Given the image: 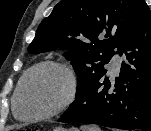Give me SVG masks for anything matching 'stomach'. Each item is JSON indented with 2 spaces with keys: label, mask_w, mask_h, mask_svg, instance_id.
<instances>
[{
  "label": "stomach",
  "mask_w": 151,
  "mask_h": 131,
  "mask_svg": "<svg viewBox=\"0 0 151 131\" xmlns=\"http://www.w3.org/2000/svg\"><path fill=\"white\" fill-rule=\"evenodd\" d=\"M54 131H67V130H65V129L62 128V127H58V128H56ZM69 131H79V130L76 129V128H71Z\"/></svg>",
  "instance_id": "1"
}]
</instances>
